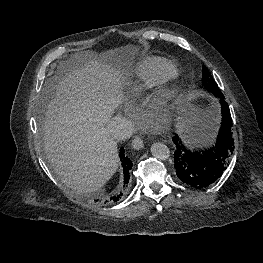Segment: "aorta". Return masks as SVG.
Segmentation results:
<instances>
[{"label": "aorta", "instance_id": "obj_1", "mask_svg": "<svg viewBox=\"0 0 263 263\" xmlns=\"http://www.w3.org/2000/svg\"><path fill=\"white\" fill-rule=\"evenodd\" d=\"M151 153L158 160H167L170 157V150L163 143H154L151 146Z\"/></svg>", "mask_w": 263, "mask_h": 263}]
</instances>
